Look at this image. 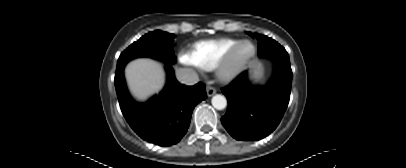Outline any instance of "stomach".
Instances as JSON below:
<instances>
[{"instance_id":"obj_1","label":"stomach","mask_w":406,"mask_h":168,"mask_svg":"<svg viewBox=\"0 0 406 168\" xmlns=\"http://www.w3.org/2000/svg\"><path fill=\"white\" fill-rule=\"evenodd\" d=\"M250 78L253 82H259L263 76V68L262 65L258 62H253L250 66Z\"/></svg>"}]
</instances>
